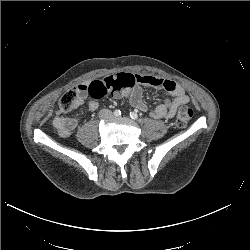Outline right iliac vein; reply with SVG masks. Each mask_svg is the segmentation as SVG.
I'll list each match as a JSON object with an SVG mask.
<instances>
[{
  "label": "right iliac vein",
  "instance_id": "obj_1",
  "mask_svg": "<svg viewBox=\"0 0 250 250\" xmlns=\"http://www.w3.org/2000/svg\"><path fill=\"white\" fill-rule=\"evenodd\" d=\"M111 116V114L108 111H104L101 114V118L105 119V118H109Z\"/></svg>",
  "mask_w": 250,
  "mask_h": 250
}]
</instances>
